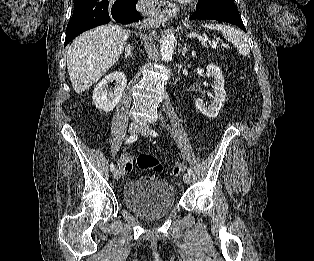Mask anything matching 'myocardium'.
Here are the masks:
<instances>
[{"instance_id":"myocardium-1","label":"myocardium","mask_w":314,"mask_h":261,"mask_svg":"<svg viewBox=\"0 0 314 261\" xmlns=\"http://www.w3.org/2000/svg\"><path fill=\"white\" fill-rule=\"evenodd\" d=\"M179 1L182 2V3H185V4H190V3H192V2H194L196 0H179Z\"/></svg>"}]
</instances>
